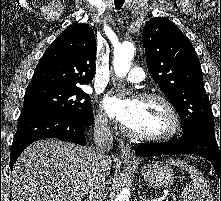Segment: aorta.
I'll return each mask as SVG.
<instances>
[{
	"mask_svg": "<svg viewBox=\"0 0 221 201\" xmlns=\"http://www.w3.org/2000/svg\"><path fill=\"white\" fill-rule=\"evenodd\" d=\"M135 53V47L130 42H125L114 49V71L118 77H125L131 68V60ZM130 190L123 188L115 201H129Z\"/></svg>",
	"mask_w": 221,
	"mask_h": 201,
	"instance_id": "762f6f07",
	"label": "aorta"
}]
</instances>
